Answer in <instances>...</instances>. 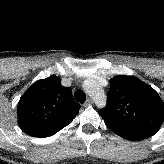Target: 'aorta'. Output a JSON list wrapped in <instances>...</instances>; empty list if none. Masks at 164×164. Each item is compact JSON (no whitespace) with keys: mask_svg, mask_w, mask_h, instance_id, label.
<instances>
[{"mask_svg":"<svg viewBox=\"0 0 164 164\" xmlns=\"http://www.w3.org/2000/svg\"><path fill=\"white\" fill-rule=\"evenodd\" d=\"M84 89L95 101L96 105L100 108L106 106V95L103 89L94 81L84 84Z\"/></svg>","mask_w":164,"mask_h":164,"instance_id":"obj_1","label":"aorta"}]
</instances>
